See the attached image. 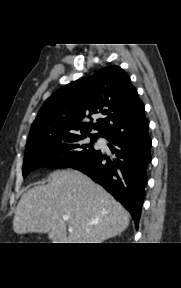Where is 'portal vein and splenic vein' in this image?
<instances>
[{"label": "portal vein and splenic vein", "instance_id": "portal-vein-and-splenic-vein-1", "mask_svg": "<svg viewBox=\"0 0 181 288\" xmlns=\"http://www.w3.org/2000/svg\"><path fill=\"white\" fill-rule=\"evenodd\" d=\"M62 218H63V220H65V221L68 220V216H67V215H64Z\"/></svg>", "mask_w": 181, "mask_h": 288}]
</instances>
